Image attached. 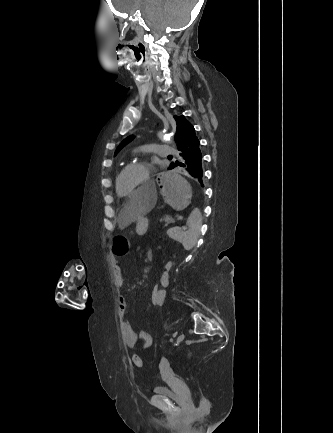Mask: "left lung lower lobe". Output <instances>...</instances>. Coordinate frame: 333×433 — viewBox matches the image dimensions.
Returning a JSON list of instances; mask_svg holds the SVG:
<instances>
[{
  "label": "left lung lower lobe",
  "instance_id": "obj_1",
  "mask_svg": "<svg viewBox=\"0 0 333 433\" xmlns=\"http://www.w3.org/2000/svg\"><path fill=\"white\" fill-rule=\"evenodd\" d=\"M199 140L191 143L185 150L178 154L175 162L171 163L170 168L181 170L192 176L195 180L202 183V154L199 148Z\"/></svg>",
  "mask_w": 333,
  "mask_h": 433
}]
</instances>
